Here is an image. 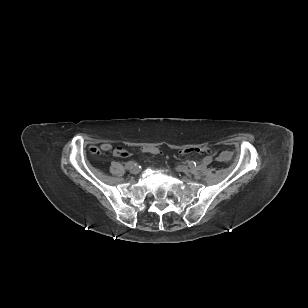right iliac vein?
I'll use <instances>...</instances> for the list:
<instances>
[{
  "instance_id": "obj_1",
  "label": "right iliac vein",
  "mask_w": 308,
  "mask_h": 308,
  "mask_svg": "<svg viewBox=\"0 0 308 308\" xmlns=\"http://www.w3.org/2000/svg\"><path fill=\"white\" fill-rule=\"evenodd\" d=\"M131 173L136 175V174L139 173V169H138L137 167H133V168L131 169Z\"/></svg>"
}]
</instances>
